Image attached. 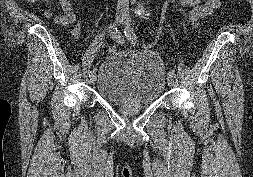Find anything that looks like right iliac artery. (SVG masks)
Here are the masks:
<instances>
[{
  "label": "right iliac artery",
  "instance_id": "right-iliac-artery-1",
  "mask_svg": "<svg viewBox=\"0 0 253 177\" xmlns=\"http://www.w3.org/2000/svg\"><path fill=\"white\" fill-rule=\"evenodd\" d=\"M109 32H110L111 38L114 41L118 42L119 44L124 43V38H123L122 33L117 29V27L114 24L110 26ZM92 73H94V71H90V74Z\"/></svg>",
  "mask_w": 253,
  "mask_h": 177
}]
</instances>
